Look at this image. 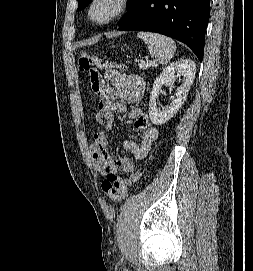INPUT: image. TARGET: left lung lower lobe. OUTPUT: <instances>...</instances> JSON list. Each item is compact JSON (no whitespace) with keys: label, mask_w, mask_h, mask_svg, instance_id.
I'll use <instances>...</instances> for the list:
<instances>
[{"label":"left lung lower lobe","mask_w":253,"mask_h":271,"mask_svg":"<svg viewBox=\"0 0 253 271\" xmlns=\"http://www.w3.org/2000/svg\"><path fill=\"white\" fill-rule=\"evenodd\" d=\"M210 0H135L120 31H151L188 45L202 61Z\"/></svg>","instance_id":"obj_1"}]
</instances>
